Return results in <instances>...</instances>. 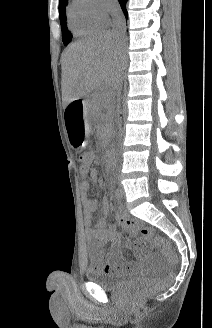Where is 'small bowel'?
<instances>
[{
	"label": "small bowel",
	"instance_id": "obj_1",
	"mask_svg": "<svg viewBox=\"0 0 212 328\" xmlns=\"http://www.w3.org/2000/svg\"><path fill=\"white\" fill-rule=\"evenodd\" d=\"M85 178L88 177L92 182L98 180V172L93 169V173H80ZM90 182L83 179L80 183L81 199L84 208V222L86 233L92 244L91 260L104 272L114 274H124L132 272L139 267V263L127 261L122 255V235L120 227L125 228L129 233L135 234L138 229L136 221L127 218L121 208L117 214V222L109 227L106 226L103 218L94 220L93 213L98 209V201L89 198ZM101 208L105 215L110 212V203L108 199H103ZM124 246L132 249L137 258L145 261L149 257V245L143 243L132 244L129 240L124 242Z\"/></svg>",
	"mask_w": 212,
	"mask_h": 328
}]
</instances>
